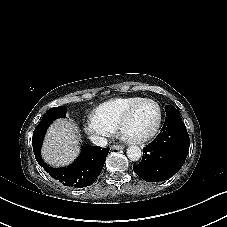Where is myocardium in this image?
<instances>
[{
    "mask_svg": "<svg viewBox=\"0 0 227 227\" xmlns=\"http://www.w3.org/2000/svg\"><path fill=\"white\" fill-rule=\"evenodd\" d=\"M145 103H150L156 106L157 111H158V118H157V122L153 128V130L144 136H135V135H127L124 132V128L128 122V120L130 119V117L132 116V114L142 105ZM161 120H162V112H161V108L159 106V104L151 99H143L140 100L139 102H137L136 104H134L131 108H129L126 113L123 115V117L121 118L118 127H117V133L119 136H121L123 139H125L126 141L129 142H134V143H142L144 141L149 140L150 138H152L156 132L158 131L160 124H161Z\"/></svg>",
    "mask_w": 227,
    "mask_h": 227,
    "instance_id": "1",
    "label": "myocardium"
}]
</instances>
